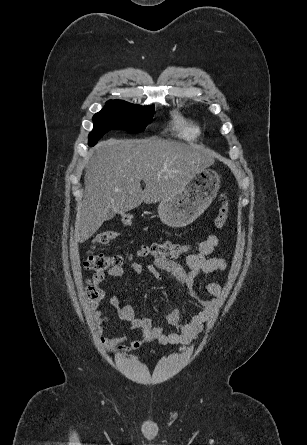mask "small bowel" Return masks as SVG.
<instances>
[{
    "mask_svg": "<svg viewBox=\"0 0 307 445\" xmlns=\"http://www.w3.org/2000/svg\"><path fill=\"white\" fill-rule=\"evenodd\" d=\"M218 245L219 237L216 234H210L202 241L197 250L187 256L186 264L189 271L171 259H156L146 266L138 262H132L131 269L136 274L146 272L155 279H160L161 272L173 276L184 287L187 294L197 301L201 309L184 323L180 322V311L178 309L171 310L166 319L174 328V331L166 332L162 327L153 326L151 318L137 317L131 306L123 305L118 297L113 296L109 299V304L114 309L117 317L126 322L131 330H140L142 337L127 343V335L115 338L102 336L101 343L107 350L127 353L137 350L144 342L156 341L163 345H178L189 344L196 339L216 306L218 298L222 295L221 286L213 280L217 272L224 271L227 268L225 259L212 256ZM123 274L122 267H115L106 272L95 273L92 277L93 285L98 290V297L94 300L93 306V316L98 326H102L110 320L102 310L98 309L99 302L105 296L102 284L108 277H121ZM199 277L203 279L205 290L212 298H201L194 291V282Z\"/></svg>",
    "mask_w": 307,
    "mask_h": 445,
    "instance_id": "small-bowel-1",
    "label": "small bowel"
}]
</instances>
